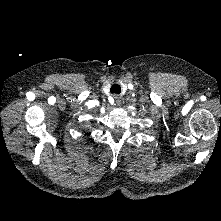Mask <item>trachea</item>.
Wrapping results in <instances>:
<instances>
[{
  "label": "trachea",
  "instance_id": "3493384b",
  "mask_svg": "<svg viewBox=\"0 0 221 221\" xmlns=\"http://www.w3.org/2000/svg\"><path fill=\"white\" fill-rule=\"evenodd\" d=\"M110 92L113 94H120L121 93V86L119 84H114L110 88Z\"/></svg>",
  "mask_w": 221,
  "mask_h": 221
}]
</instances>
